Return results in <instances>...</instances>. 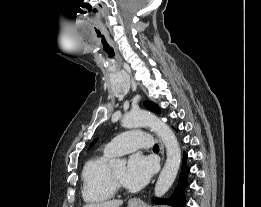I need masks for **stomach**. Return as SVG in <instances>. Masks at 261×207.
<instances>
[{"instance_id": "0dacf381", "label": "stomach", "mask_w": 261, "mask_h": 207, "mask_svg": "<svg viewBox=\"0 0 261 207\" xmlns=\"http://www.w3.org/2000/svg\"><path fill=\"white\" fill-rule=\"evenodd\" d=\"M128 207H147L144 203H134L133 201H130L128 203Z\"/></svg>"}]
</instances>
